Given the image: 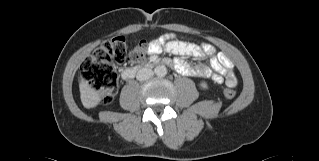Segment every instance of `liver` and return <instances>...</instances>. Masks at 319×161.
Returning <instances> with one entry per match:
<instances>
[{"mask_svg":"<svg viewBox=\"0 0 319 161\" xmlns=\"http://www.w3.org/2000/svg\"><path fill=\"white\" fill-rule=\"evenodd\" d=\"M79 89L81 102L85 108L96 107L101 101L100 94L82 77L80 78Z\"/></svg>","mask_w":319,"mask_h":161,"instance_id":"1","label":"liver"}]
</instances>
